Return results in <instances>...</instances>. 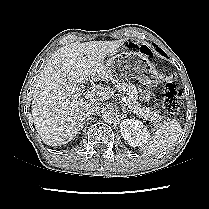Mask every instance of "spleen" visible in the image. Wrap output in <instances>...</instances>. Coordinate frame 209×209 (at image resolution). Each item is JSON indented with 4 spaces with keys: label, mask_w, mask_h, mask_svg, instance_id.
<instances>
[{
    "label": "spleen",
    "mask_w": 209,
    "mask_h": 209,
    "mask_svg": "<svg viewBox=\"0 0 209 209\" xmlns=\"http://www.w3.org/2000/svg\"><path fill=\"white\" fill-rule=\"evenodd\" d=\"M182 127L175 119L161 123L142 146L145 154L155 155L162 153L173 146L180 137Z\"/></svg>",
    "instance_id": "spleen-1"
}]
</instances>
